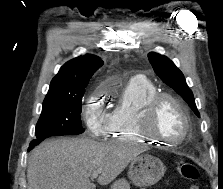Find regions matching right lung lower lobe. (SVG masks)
<instances>
[{"label": "right lung lower lobe", "instance_id": "1", "mask_svg": "<svg viewBox=\"0 0 223 189\" xmlns=\"http://www.w3.org/2000/svg\"><path fill=\"white\" fill-rule=\"evenodd\" d=\"M44 139H40V140H33L30 145H29V148H28V151H30L35 145H38L40 142H42Z\"/></svg>", "mask_w": 223, "mask_h": 189}]
</instances>
